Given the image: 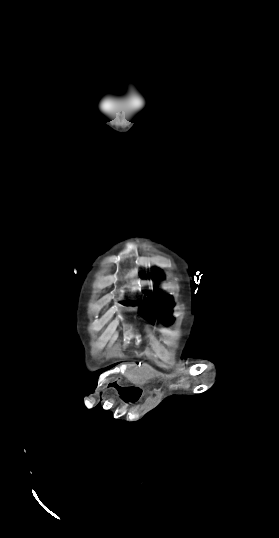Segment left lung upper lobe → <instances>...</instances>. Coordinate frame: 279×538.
Here are the masks:
<instances>
[{"label": "left lung upper lobe", "instance_id": "obj_1", "mask_svg": "<svg viewBox=\"0 0 279 538\" xmlns=\"http://www.w3.org/2000/svg\"><path fill=\"white\" fill-rule=\"evenodd\" d=\"M153 279H161V275L155 273L152 276ZM154 295L156 296L157 302H123L127 306H140L139 314L146 319H149L150 316L155 315L160 318L165 324H171L173 319L169 318V313H171V308L174 306L172 302L168 300L166 294L161 291L155 290Z\"/></svg>", "mask_w": 279, "mask_h": 538}]
</instances>
